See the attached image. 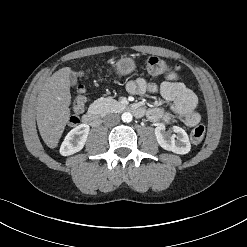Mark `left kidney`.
Wrapping results in <instances>:
<instances>
[{"instance_id":"left-kidney-1","label":"left kidney","mask_w":247,"mask_h":247,"mask_svg":"<svg viewBox=\"0 0 247 247\" xmlns=\"http://www.w3.org/2000/svg\"><path fill=\"white\" fill-rule=\"evenodd\" d=\"M176 134H170L166 131L164 124H159L155 128V136L158 144L165 150L184 155L191 149L189 137L184 129L178 126L173 127Z\"/></svg>"}]
</instances>
